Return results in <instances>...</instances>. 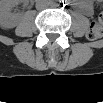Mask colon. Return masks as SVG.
<instances>
[{
  "label": "colon",
  "instance_id": "obj_1",
  "mask_svg": "<svg viewBox=\"0 0 103 103\" xmlns=\"http://www.w3.org/2000/svg\"><path fill=\"white\" fill-rule=\"evenodd\" d=\"M103 34V14H100L90 25L87 37L90 40L99 39Z\"/></svg>",
  "mask_w": 103,
  "mask_h": 103
}]
</instances>
